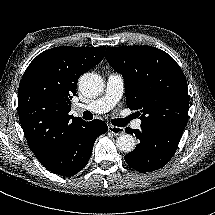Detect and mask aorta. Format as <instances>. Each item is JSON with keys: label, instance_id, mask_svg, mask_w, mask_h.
Masks as SVG:
<instances>
[{"label": "aorta", "instance_id": "obj_1", "mask_svg": "<svg viewBox=\"0 0 215 215\" xmlns=\"http://www.w3.org/2000/svg\"><path fill=\"white\" fill-rule=\"evenodd\" d=\"M79 88L85 96H98L103 89V82L98 75L85 73L79 79ZM117 148L124 152L130 153L136 147V142L131 134H122L116 139Z\"/></svg>", "mask_w": 215, "mask_h": 215}]
</instances>
